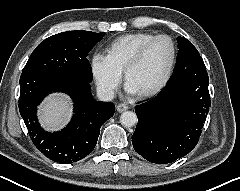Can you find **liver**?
Segmentation results:
<instances>
[{"instance_id": "6515ba94", "label": "liver", "mask_w": 240, "mask_h": 191, "mask_svg": "<svg viewBox=\"0 0 240 191\" xmlns=\"http://www.w3.org/2000/svg\"><path fill=\"white\" fill-rule=\"evenodd\" d=\"M69 97L52 94L44 100L39 108V120L46 130L56 131L63 128L72 115Z\"/></svg>"}]
</instances>
